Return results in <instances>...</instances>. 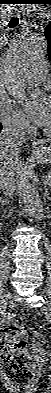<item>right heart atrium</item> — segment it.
Returning a JSON list of instances; mask_svg holds the SVG:
<instances>
[{"mask_svg":"<svg viewBox=\"0 0 51 393\" xmlns=\"http://www.w3.org/2000/svg\"><path fill=\"white\" fill-rule=\"evenodd\" d=\"M1 120L5 129L13 133L24 134L30 130L29 125L7 103L1 106Z\"/></svg>","mask_w":51,"mask_h":393,"instance_id":"d8ad5b80","label":"right heart atrium"}]
</instances>
